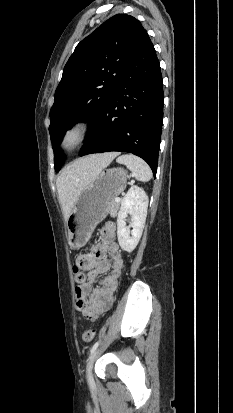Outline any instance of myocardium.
<instances>
[{
  "instance_id": "myocardium-1",
  "label": "myocardium",
  "mask_w": 233,
  "mask_h": 413,
  "mask_svg": "<svg viewBox=\"0 0 233 413\" xmlns=\"http://www.w3.org/2000/svg\"><path fill=\"white\" fill-rule=\"evenodd\" d=\"M92 123L87 119H78L69 124L60 137V147L70 152L81 146L89 137Z\"/></svg>"
}]
</instances>
